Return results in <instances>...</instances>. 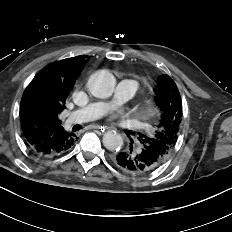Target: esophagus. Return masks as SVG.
<instances>
[{
  "mask_svg": "<svg viewBox=\"0 0 232 232\" xmlns=\"http://www.w3.org/2000/svg\"><path fill=\"white\" fill-rule=\"evenodd\" d=\"M92 128H93V129H98V130H100L101 132H105V130L108 129V128L105 127V126H100V125H93Z\"/></svg>",
  "mask_w": 232,
  "mask_h": 232,
  "instance_id": "1",
  "label": "esophagus"
}]
</instances>
